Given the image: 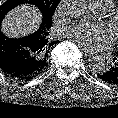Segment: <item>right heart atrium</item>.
<instances>
[{"mask_svg": "<svg viewBox=\"0 0 118 118\" xmlns=\"http://www.w3.org/2000/svg\"><path fill=\"white\" fill-rule=\"evenodd\" d=\"M58 13H59V12H56L55 17H57Z\"/></svg>", "mask_w": 118, "mask_h": 118, "instance_id": "obj_1", "label": "right heart atrium"}]
</instances>
